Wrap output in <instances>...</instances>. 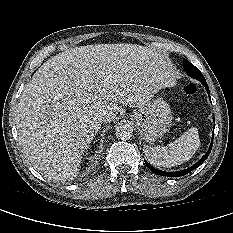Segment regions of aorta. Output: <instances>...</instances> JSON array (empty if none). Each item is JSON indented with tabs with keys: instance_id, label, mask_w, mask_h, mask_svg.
<instances>
[{
	"instance_id": "1",
	"label": "aorta",
	"mask_w": 233,
	"mask_h": 233,
	"mask_svg": "<svg viewBox=\"0 0 233 233\" xmlns=\"http://www.w3.org/2000/svg\"><path fill=\"white\" fill-rule=\"evenodd\" d=\"M115 134L121 140H128L133 135V127L126 122H120L115 127Z\"/></svg>"
}]
</instances>
